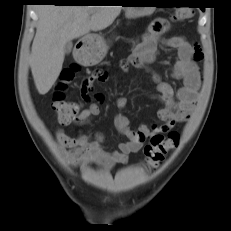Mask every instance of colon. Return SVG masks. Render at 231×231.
Masks as SVG:
<instances>
[{
  "instance_id": "1",
  "label": "colon",
  "mask_w": 231,
  "mask_h": 231,
  "mask_svg": "<svg viewBox=\"0 0 231 231\" xmlns=\"http://www.w3.org/2000/svg\"><path fill=\"white\" fill-rule=\"evenodd\" d=\"M191 16L189 8L177 10L173 15L174 21H183ZM79 67L72 65L65 68L61 73L60 83L55 91L53 98V108L61 124H69L80 113L79 104L65 99V88L70 83ZM179 143V134L172 131L167 137L162 134H155L150 138V142L144 147L146 163L151 170L158 168L164 161L167 153L174 149Z\"/></svg>"
}]
</instances>
